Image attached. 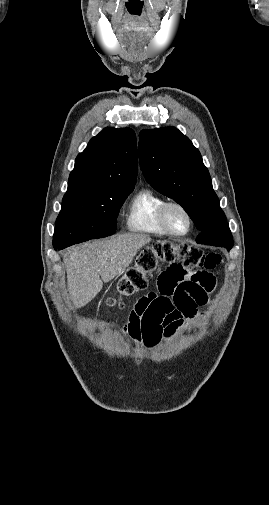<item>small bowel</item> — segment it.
Segmentation results:
<instances>
[{"mask_svg": "<svg viewBox=\"0 0 269 505\" xmlns=\"http://www.w3.org/2000/svg\"><path fill=\"white\" fill-rule=\"evenodd\" d=\"M181 262L172 260L171 268H162L157 286L150 289L131 311L125 333L137 343L156 346L163 336H170L198 315V306L205 305L208 294L216 288L211 268H195L188 273ZM142 307H139L141 306Z\"/></svg>", "mask_w": 269, "mask_h": 505, "instance_id": "1", "label": "small bowel"}]
</instances>
